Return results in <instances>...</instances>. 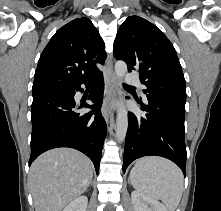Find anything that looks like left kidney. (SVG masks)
<instances>
[{"label": "left kidney", "instance_id": "1", "mask_svg": "<svg viewBox=\"0 0 221 211\" xmlns=\"http://www.w3.org/2000/svg\"><path fill=\"white\" fill-rule=\"evenodd\" d=\"M131 198L135 211H168L162 203L138 191H133Z\"/></svg>", "mask_w": 221, "mask_h": 211}]
</instances>
